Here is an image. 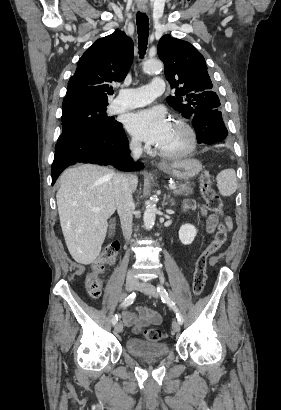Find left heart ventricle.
Returning <instances> with one entry per match:
<instances>
[{
	"mask_svg": "<svg viewBox=\"0 0 281 410\" xmlns=\"http://www.w3.org/2000/svg\"><path fill=\"white\" fill-rule=\"evenodd\" d=\"M187 143V133L178 125L171 123L165 139L160 145H158V148L165 151L174 152L183 149Z\"/></svg>",
	"mask_w": 281,
	"mask_h": 410,
	"instance_id": "left-heart-ventricle-1",
	"label": "left heart ventricle"
}]
</instances>
